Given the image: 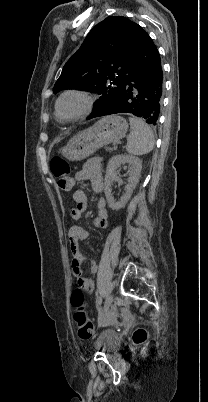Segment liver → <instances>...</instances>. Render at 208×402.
<instances>
[{
	"mask_svg": "<svg viewBox=\"0 0 208 402\" xmlns=\"http://www.w3.org/2000/svg\"><path fill=\"white\" fill-rule=\"evenodd\" d=\"M60 140H62V138H56V140H54L55 144H57V142H60Z\"/></svg>",
	"mask_w": 208,
	"mask_h": 402,
	"instance_id": "1",
	"label": "liver"
}]
</instances>
